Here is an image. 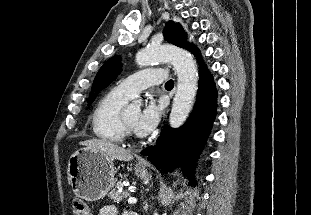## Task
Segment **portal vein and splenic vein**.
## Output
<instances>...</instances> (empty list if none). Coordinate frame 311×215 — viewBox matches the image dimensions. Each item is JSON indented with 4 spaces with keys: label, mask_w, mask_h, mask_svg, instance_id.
I'll return each mask as SVG.
<instances>
[{
    "label": "portal vein and splenic vein",
    "mask_w": 311,
    "mask_h": 215,
    "mask_svg": "<svg viewBox=\"0 0 311 215\" xmlns=\"http://www.w3.org/2000/svg\"><path fill=\"white\" fill-rule=\"evenodd\" d=\"M127 202H128L129 204H135V203L137 202V199H136V198H133V197H129L128 200H127Z\"/></svg>",
    "instance_id": "obj_1"
}]
</instances>
